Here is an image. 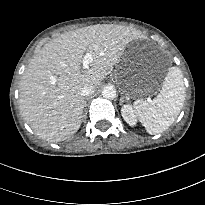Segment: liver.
<instances>
[{
	"label": "liver",
	"mask_w": 205,
	"mask_h": 205,
	"mask_svg": "<svg viewBox=\"0 0 205 205\" xmlns=\"http://www.w3.org/2000/svg\"><path fill=\"white\" fill-rule=\"evenodd\" d=\"M134 36L123 26L97 24L45 44L26 67L19 86L21 114L35 134L59 142L76 133L85 105L82 88L97 87ZM85 52L95 54L88 70L81 66Z\"/></svg>",
	"instance_id": "liver-1"
}]
</instances>
